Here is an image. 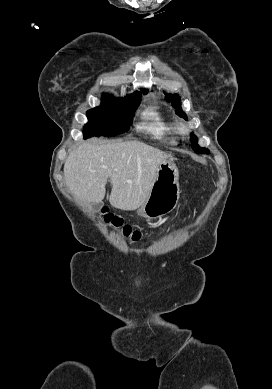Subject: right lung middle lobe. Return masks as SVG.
I'll return each mask as SVG.
<instances>
[{
  "mask_svg": "<svg viewBox=\"0 0 272 389\" xmlns=\"http://www.w3.org/2000/svg\"><path fill=\"white\" fill-rule=\"evenodd\" d=\"M141 94L121 99L106 95L99 107L87 111L88 123L83 128L84 138L116 136L128 130L138 107Z\"/></svg>",
  "mask_w": 272,
  "mask_h": 389,
  "instance_id": "obj_1",
  "label": "right lung middle lobe"
}]
</instances>
